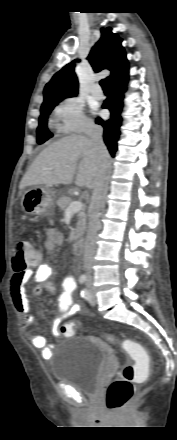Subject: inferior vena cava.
Instances as JSON below:
<instances>
[{"label": "inferior vena cava", "instance_id": "1", "mask_svg": "<svg viewBox=\"0 0 177 440\" xmlns=\"http://www.w3.org/2000/svg\"><path fill=\"white\" fill-rule=\"evenodd\" d=\"M86 135L92 141L93 147L99 156L100 170L97 182L93 188L91 204L89 207V223L88 231L84 247V269L87 274V278L91 279L92 262L95 253V242L97 232L100 227V211L103 206L102 197L105 191V176L107 163L104 160L105 146L102 140V127L89 123L85 130Z\"/></svg>", "mask_w": 177, "mask_h": 440}]
</instances>
